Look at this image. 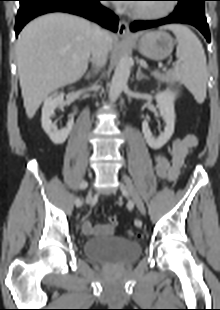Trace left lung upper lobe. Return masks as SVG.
<instances>
[{
	"mask_svg": "<svg viewBox=\"0 0 220 310\" xmlns=\"http://www.w3.org/2000/svg\"><path fill=\"white\" fill-rule=\"evenodd\" d=\"M181 8H195L204 11L205 0H176Z\"/></svg>",
	"mask_w": 220,
	"mask_h": 310,
	"instance_id": "obj_1",
	"label": "left lung upper lobe"
}]
</instances>
